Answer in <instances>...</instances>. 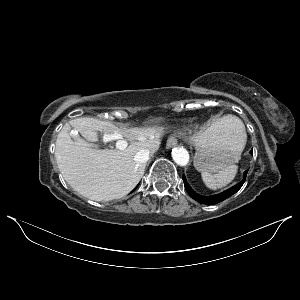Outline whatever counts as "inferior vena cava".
Wrapping results in <instances>:
<instances>
[{
	"mask_svg": "<svg viewBox=\"0 0 300 300\" xmlns=\"http://www.w3.org/2000/svg\"><path fill=\"white\" fill-rule=\"evenodd\" d=\"M149 154L150 151L148 149H141L135 154L134 160L138 163H145L149 160Z\"/></svg>",
	"mask_w": 300,
	"mask_h": 300,
	"instance_id": "1",
	"label": "inferior vena cava"
}]
</instances>
